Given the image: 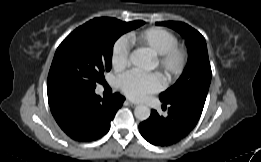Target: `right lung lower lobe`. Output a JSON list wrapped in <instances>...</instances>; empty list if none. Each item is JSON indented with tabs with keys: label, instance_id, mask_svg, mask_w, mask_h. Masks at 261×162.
Wrapping results in <instances>:
<instances>
[{
	"label": "right lung lower lobe",
	"instance_id": "1",
	"mask_svg": "<svg viewBox=\"0 0 261 162\" xmlns=\"http://www.w3.org/2000/svg\"><path fill=\"white\" fill-rule=\"evenodd\" d=\"M125 98L118 93L101 99L95 92L69 95L50 105L52 115L61 129L72 139L89 142L104 136L110 122Z\"/></svg>",
	"mask_w": 261,
	"mask_h": 162
}]
</instances>
